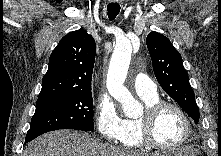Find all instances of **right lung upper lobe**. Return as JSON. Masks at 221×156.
<instances>
[{
  "label": "right lung upper lobe",
  "mask_w": 221,
  "mask_h": 156,
  "mask_svg": "<svg viewBox=\"0 0 221 156\" xmlns=\"http://www.w3.org/2000/svg\"><path fill=\"white\" fill-rule=\"evenodd\" d=\"M95 40L80 29L65 35L49 58L39 98L91 90Z\"/></svg>",
  "instance_id": "right-lung-upper-lobe-1"
}]
</instances>
